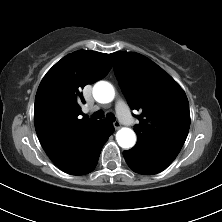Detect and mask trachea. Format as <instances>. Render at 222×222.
I'll return each mask as SVG.
<instances>
[{"label": "trachea", "mask_w": 222, "mask_h": 222, "mask_svg": "<svg viewBox=\"0 0 222 222\" xmlns=\"http://www.w3.org/2000/svg\"><path fill=\"white\" fill-rule=\"evenodd\" d=\"M93 117L96 118V119L103 118V117H104V112L101 111V110H99V111H97V112H95V113L93 114ZM106 118H107L109 121H111V122H114L115 119H116L115 116H114V114H112V113H108V114L106 115Z\"/></svg>", "instance_id": "1"}]
</instances>
